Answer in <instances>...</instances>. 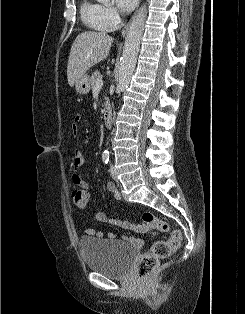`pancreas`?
<instances>
[{
	"mask_svg": "<svg viewBox=\"0 0 245 314\" xmlns=\"http://www.w3.org/2000/svg\"><path fill=\"white\" fill-rule=\"evenodd\" d=\"M98 78H102L100 72L99 71L93 72V74L91 76V79H90L91 88L95 87V84H96V81H97Z\"/></svg>",
	"mask_w": 245,
	"mask_h": 314,
	"instance_id": "pancreas-1",
	"label": "pancreas"
}]
</instances>
